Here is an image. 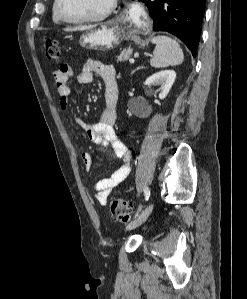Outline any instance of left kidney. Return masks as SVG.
<instances>
[{
    "instance_id": "1",
    "label": "left kidney",
    "mask_w": 247,
    "mask_h": 299,
    "mask_svg": "<svg viewBox=\"0 0 247 299\" xmlns=\"http://www.w3.org/2000/svg\"><path fill=\"white\" fill-rule=\"evenodd\" d=\"M176 73L173 70H163L150 76L145 85L148 87L160 86V98H165L174 84Z\"/></svg>"
}]
</instances>
